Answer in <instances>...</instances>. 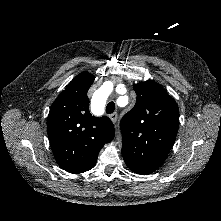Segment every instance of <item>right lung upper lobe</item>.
Returning a JSON list of instances; mask_svg holds the SVG:
<instances>
[{"mask_svg":"<svg viewBox=\"0 0 221 221\" xmlns=\"http://www.w3.org/2000/svg\"><path fill=\"white\" fill-rule=\"evenodd\" d=\"M94 81L88 72L77 75L53 102L47 132L58 165L69 173L92 169L99 151L115 136L112 121L89 111L87 92Z\"/></svg>","mask_w":221,"mask_h":221,"instance_id":"1","label":"right lung upper lobe"}]
</instances>
